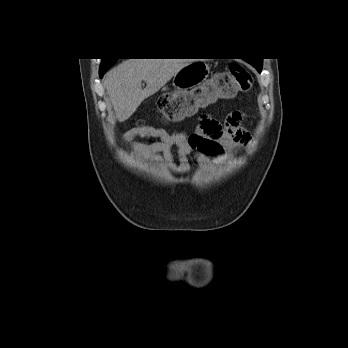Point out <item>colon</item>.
Wrapping results in <instances>:
<instances>
[{"label":"colon","mask_w":348,"mask_h":348,"mask_svg":"<svg viewBox=\"0 0 348 348\" xmlns=\"http://www.w3.org/2000/svg\"><path fill=\"white\" fill-rule=\"evenodd\" d=\"M252 85L253 78L248 70L240 64L233 63L225 72L218 74L211 84L206 85V88L222 99L246 93ZM195 107L188 95L177 93L164 94L157 102L159 115L167 121L180 120ZM214 121L220 125L218 121Z\"/></svg>","instance_id":"obj_1"}]
</instances>
